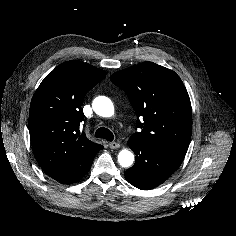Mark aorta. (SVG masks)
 <instances>
[{
  "instance_id": "aorta-1",
  "label": "aorta",
  "mask_w": 236,
  "mask_h": 236,
  "mask_svg": "<svg viewBox=\"0 0 236 236\" xmlns=\"http://www.w3.org/2000/svg\"><path fill=\"white\" fill-rule=\"evenodd\" d=\"M93 110L102 117H112L114 115V106L110 99L103 98L93 103ZM118 162L122 167H130L134 162V154L128 149H123L118 154Z\"/></svg>"
}]
</instances>
